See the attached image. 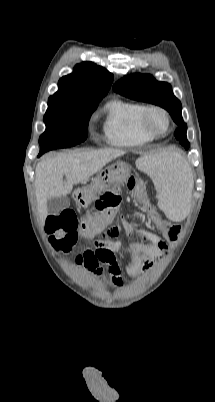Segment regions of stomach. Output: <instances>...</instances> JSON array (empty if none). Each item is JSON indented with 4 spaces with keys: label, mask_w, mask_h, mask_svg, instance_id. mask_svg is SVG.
Instances as JSON below:
<instances>
[{
    "label": "stomach",
    "mask_w": 215,
    "mask_h": 402,
    "mask_svg": "<svg viewBox=\"0 0 215 402\" xmlns=\"http://www.w3.org/2000/svg\"><path fill=\"white\" fill-rule=\"evenodd\" d=\"M130 175V166L121 161H116L101 170L91 184L78 188L73 192L75 202L82 207H88L97 195L106 191L111 185L124 183Z\"/></svg>",
    "instance_id": "1"
}]
</instances>
